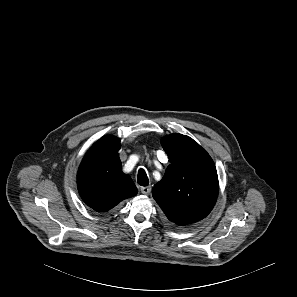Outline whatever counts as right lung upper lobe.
Masks as SVG:
<instances>
[{
	"mask_svg": "<svg viewBox=\"0 0 297 297\" xmlns=\"http://www.w3.org/2000/svg\"><path fill=\"white\" fill-rule=\"evenodd\" d=\"M120 147L119 138L104 136L91 146L79 166L80 197L97 212H106L137 194L131 177L122 172Z\"/></svg>",
	"mask_w": 297,
	"mask_h": 297,
	"instance_id": "right-lung-upper-lobe-1",
	"label": "right lung upper lobe"
}]
</instances>
